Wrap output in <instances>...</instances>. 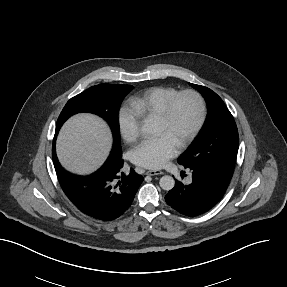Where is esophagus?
Segmentation results:
<instances>
[{
  "label": "esophagus",
  "mask_w": 287,
  "mask_h": 287,
  "mask_svg": "<svg viewBox=\"0 0 287 287\" xmlns=\"http://www.w3.org/2000/svg\"><path fill=\"white\" fill-rule=\"evenodd\" d=\"M146 175L154 176V175H160L163 174L160 170H148L145 172Z\"/></svg>",
  "instance_id": "esophagus-1"
}]
</instances>
